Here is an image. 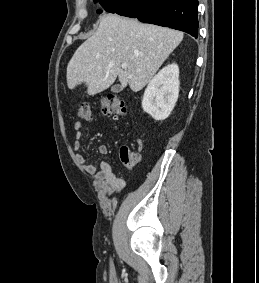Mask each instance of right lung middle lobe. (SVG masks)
<instances>
[{"label":"right lung middle lobe","mask_w":259,"mask_h":283,"mask_svg":"<svg viewBox=\"0 0 259 283\" xmlns=\"http://www.w3.org/2000/svg\"><path fill=\"white\" fill-rule=\"evenodd\" d=\"M96 2H98L99 4L103 1V0H95ZM101 5V4H100ZM102 6V5H101ZM103 7V6H102ZM99 13H101V11H98Z\"/></svg>","instance_id":"obj_1"}]
</instances>
